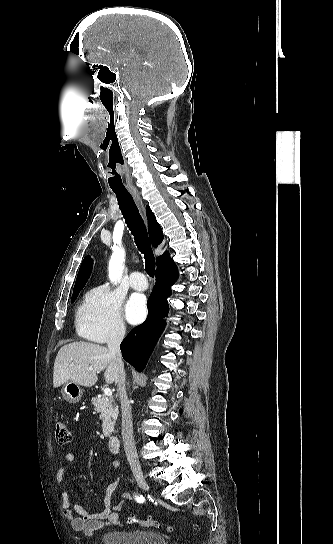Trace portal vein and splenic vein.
Here are the masks:
<instances>
[{
  "label": "portal vein and splenic vein",
  "mask_w": 333,
  "mask_h": 544,
  "mask_svg": "<svg viewBox=\"0 0 333 544\" xmlns=\"http://www.w3.org/2000/svg\"><path fill=\"white\" fill-rule=\"evenodd\" d=\"M89 370L91 371L92 368H90ZM104 394H105L106 396H112V390H111L110 388H108V387H105V388H104Z\"/></svg>",
  "instance_id": "portal-vein-and-splenic-vein-1"
}]
</instances>
